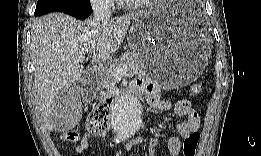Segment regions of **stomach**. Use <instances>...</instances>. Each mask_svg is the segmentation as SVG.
Instances as JSON below:
<instances>
[{
  "mask_svg": "<svg viewBox=\"0 0 261 156\" xmlns=\"http://www.w3.org/2000/svg\"><path fill=\"white\" fill-rule=\"evenodd\" d=\"M186 1L161 2L143 11L129 32L130 48L161 86L180 87L197 79L208 63L210 38L187 16ZM99 75L86 84L95 93Z\"/></svg>",
  "mask_w": 261,
  "mask_h": 156,
  "instance_id": "1",
  "label": "stomach"
}]
</instances>
